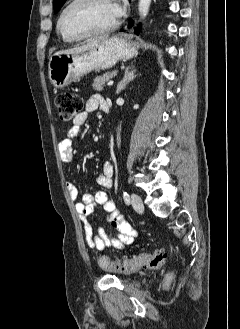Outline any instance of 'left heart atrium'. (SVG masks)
Returning a JSON list of instances; mask_svg holds the SVG:
<instances>
[{
	"instance_id": "obj_1",
	"label": "left heart atrium",
	"mask_w": 240,
	"mask_h": 329,
	"mask_svg": "<svg viewBox=\"0 0 240 329\" xmlns=\"http://www.w3.org/2000/svg\"><path fill=\"white\" fill-rule=\"evenodd\" d=\"M112 7H113L116 17L117 18L120 17L124 10L123 5L119 2H112Z\"/></svg>"
}]
</instances>
